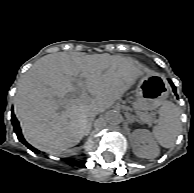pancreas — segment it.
Masks as SVG:
<instances>
[{
  "label": "pancreas",
  "mask_w": 194,
  "mask_h": 193,
  "mask_svg": "<svg viewBox=\"0 0 194 193\" xmlns=\"http://www.w3.org/2000/svg\"><path fill=\"white\" fill-rule=\"evenodd\" d=\"M132 118H134L136 121L140 122V123H147L149 125H151L154 122V119L152 118V116L146 112H141L136 110V115L132 116Z\"/></svg>",
  "instance_id": "pancreas-1"
}]
</instances>
